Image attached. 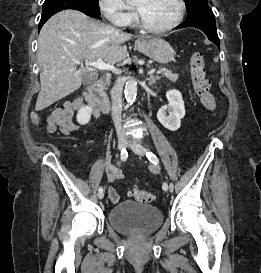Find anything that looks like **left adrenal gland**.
I'll return each mask as SVG.
<instances>
[{"label":"left adrenal gland","instance_id":"a2214340","mask_svg":"<svg viewBox=\"0 0 261 273\" xmlns=\"http://www.w3.org/2000/svg\"><path fill=\"white\" fill-rule=\"evenodd\" d=\"M161 77H159V76H154L153 74H152V72H150V77H149V85H153V84H155L156 83V81L157 80H159Z\"/></svg>","mask_w":261,"mask_h":273}]
</instances>
